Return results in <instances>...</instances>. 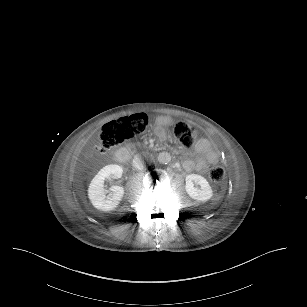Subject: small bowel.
<instances>
[{
	"label": "small bowel",
	"instance_id": "c3829d8e",
	"mask_svg": "<svg viewBox=\"0 0 307 307\" xmlns=\"http://www.w3.org/2000/svg\"><path fill=\"white\" fill-rule=\"evenodd\" d=\"M190 155L195 159H187L183 162V167L186 171L196 170L204 174L212 164H216L219 160L218 152L213 148L211 142L206 138H201L195 144Z\"/></svg>",
	"mask_w": 307,
	"mask_h": 307
}]
</instances>
